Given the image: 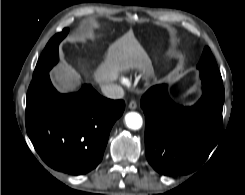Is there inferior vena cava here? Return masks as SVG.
Wrapping results in <instances>:
<instances>
[{
    "instance_id": "inferior-vena-cava-1",
    "label": "inferior vena cava",
    "mask_w": 245,
    "mask_h": 195,
    "mask_svg": "<svg viewBox=\"0 0 245 195\" xmlns=\"http://www.w3.org/2000/svg\"><path fill=\"white\" fill-rule=\"evenodd\" d=\"M101 90L110 99H122L125 95L123 88L115 84L103 85Z\"/></svg>"
}]
</instances>
